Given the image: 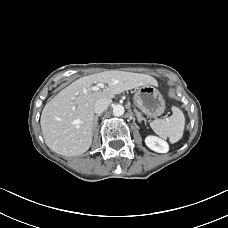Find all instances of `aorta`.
Segmentation results:
<instances>
[{
    "label": "aorta",
    "mask_w": 228,
    "mask_h": 228,
    "mask_svg": "<svg viewBox=\"0 0 228 228\" xmlns=\"http://www.w3.org/2000/svg\"><path fill=\"white\" fill-rule=\"evenodd\" d=\"M124 112H125V109L122 105L117 104L113 107V114L115 116H121L124 114Z\"/></svg>",
    "instance_id": "762f6f07"
}]
</instances>
